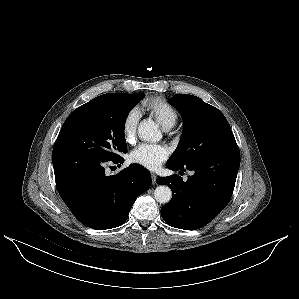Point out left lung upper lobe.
Here are the masks:
<instances>
[{
	"label": "left lung upper lobe",
	"instance_id": "5c2ea615",
	"mask_svg": "<svg viewBox=\"0 0 299 299\" xmlns=\"http://www.w3.org/2000/svg\"><path fill=\"white\" fill-rule=\"evenodd\" d=\"M170 103L182 115L184 127L168 164L186 165L211 153L237 146L228 121L217 108L188 94H176Z\"/></svg>",
	"mask_w": 299,
	"mask_h": 299
}]
</instances>
